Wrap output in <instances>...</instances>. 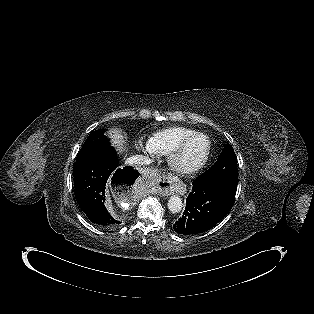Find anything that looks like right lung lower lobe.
Instances as JSON below:
<instances>
[{
  "mask_svg": "<svg viewBox=\"0 0 314 314\" xmlns=\"http://www.w3.org/2000/svg\"><path fill=\"white\" fill-rule=\"evenodd\" d=\"M119 160L112 147L100 151L89 159L77 163L73 170L75 197L88 219L96 225L113 229L121 220L112 217L105 203V186L109 182H118L131 188L139 176L131 166L118 167Z\"/></svg>",
  "mask_w": 314,
  "mask_h": 314,
  "instance_id": "1",
  "label": "right lung lower lobe"
}]
</instances>
